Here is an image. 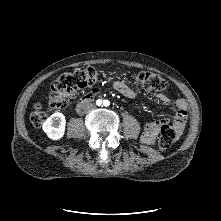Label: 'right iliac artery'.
I'll return each mask as SVG.
<instances>
[{"mask_svg": "<svg viewBox=\"0 0 221 221\" xmlns=\"http://www.w3.org/2000/svg\"><path fill=\"white\" fill-rule=\"evenodd\" d=\"M98 105H101L102 104V101L101 100H97L96 102Z\"/></svg>", "mask_w": 221, "mask_h": 221, "instance_id": "obj_1", "label": "right iliac artery"}]
</instances>
